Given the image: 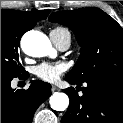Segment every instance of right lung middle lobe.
Listing matches in <instances>:
<instances>
[{"label": "right lung middle lobe", "instance_id": "right-lung-middle-lobe-1", "mask_svg": "<svg viewBox=\"0 0 123 123\" xmlns=\"http://www.w3.org/2000/svg\"><path fill=\"white\" fill-rule=\"evenodd\" d=\"M30 30L10 13H1V80L26 74L19 61V43L22 35Z\"/></svg>", "mask_w": 123, "mask_h": 123}]
</instances>
